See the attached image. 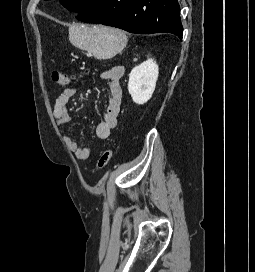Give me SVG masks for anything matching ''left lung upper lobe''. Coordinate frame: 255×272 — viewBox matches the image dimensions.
Here are the masks:
<instances>
[{"label": "left lung upper lobe", "mask_w": 255, "mask_h": 272, "mask_svg": "<svg viewBox=\"0 0 255 272\" xmlns=\"http://www.w3.org/2000/svg\"><path fill=\"white\" fill-rule=\"evenodd\" d=\"M98 0H60L61 4L68 10L81 12L84 9L81 5L88 4V8H91Z\"/></svg>", "instance_id": "obj_1"}]
</instances>
